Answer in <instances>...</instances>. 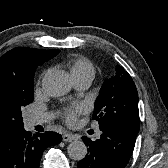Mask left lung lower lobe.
Returning <instances> with one entry per match:
<instances>
[{
  "instance_id": "left-lung-lower-lobe-1",
  "label": "left lung lower lobe",
  "mask_w": 168,
  "mask_h": 168,
  "mask_svg": "<svg viewBox=\"0 0 168 168\" xmlns=\"http://www.w3.org/2000/svg\"><path fill=\"white\" fill-rule=\"evenodd\" d=\"M101 138L91 141L82 137L88 146V154L78 162V168H125L136 141L137 133L119 126L100 128Z\"/></svg>"
}]
</instances>
